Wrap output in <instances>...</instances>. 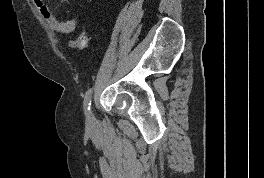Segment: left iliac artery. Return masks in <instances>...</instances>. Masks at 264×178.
Returning a JSON list of instances; mask_svg holds the SVG:
<instances>
[{
	"mask_svg": "<svg viewBox=\"0 0 264 178\" xmlns=\"http://www.w3.org/2000/svg\"><path fill=\"white\" fill-rule=\"evenodd\" d=\"M92 91H93L92 88L88 89V91L86 92L85 97H84L83 106H84L85 113H88V111L90 110Z\"/></svg>",
	"mask_w": 264,
	"mask_h": 178,
	"instance_id": "1",
	"label": "left iliac artery"
}]
</instances>
